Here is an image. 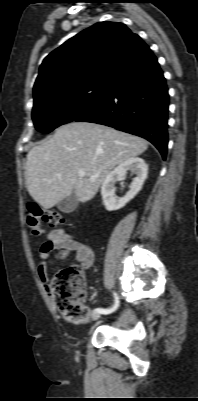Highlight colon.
Listing matches in <instances>:
<instances>
[{"instance_id": "colon-1", "label": "colon", "mask_w": 198, "mask_h": 401, "mask_svg": "<svg viewBox=\"0 0 198 401\" xmlns=\"http://www.w3.org/2000/svg\"><path fill=\"white\" fill-rule=\"evenodd\" d=\"M63 222L57 211L44 210L35 203L28 205L26 223L34 236L41 235L42 224L56 227ZM50 294L64 319L73 324H82L89 319V310L83 305L85 299L84 271L79 266L60 270L51 280Z\"/></svg>"}]
</instances>
